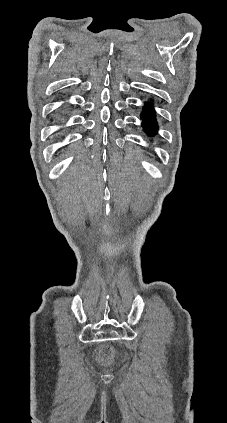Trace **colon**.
Returning <instances> with one entry per match:
<instances>
[{"instance_id":"1","label":"colon","mask_w":227,"mask_h":423,"mask_svg":"<svg viewBox=\"0 0 227 423\" xmlns=\"http://www.w3.org/2000/svg\"><path fill=\"white\" fill-rule=\"evenodd\" d=\"M112 357V352L109 348L104 349V351L102 352L100 359L104 362H108L110 361Z\"/></svg>"}]
</instances>
